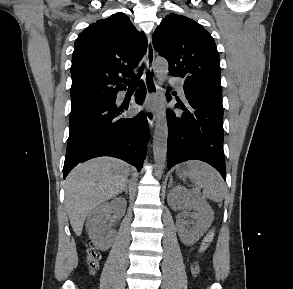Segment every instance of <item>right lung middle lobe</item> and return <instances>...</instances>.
I'll use <instances>...</instances> for the list:
<instances>
[{"label": "right lung middle lobe", "mask_w": 293, "mask_h": 289, "mask_svg": "<svg viewBox=\"0 0 293 289\" xmlns=\"http://www.w3.org/2000/svg\"><path fill=\"white\" fill-rule=\"evenodd\" d=\"M115 97V96H113ZM113 97L108 98H95V99H89L85 101H80L76 103H72L71 112H70V118L75 117L77 115L83 114L93 108L98 107L99 105L109 101Z\"/></svg>", "instance_id": "dd1d6c3e"}]
</instances>
